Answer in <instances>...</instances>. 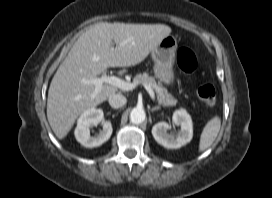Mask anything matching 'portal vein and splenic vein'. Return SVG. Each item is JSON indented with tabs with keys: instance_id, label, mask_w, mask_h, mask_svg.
Segmentation results:
<instances>
[{
	"instance_id": "obj_1",
	"label": "portal vein and splenic vein",
	"mask_w": 272,
	"mask_h": 198,
	"mask_svg": "<svg viewBox=\"0 0 272 198\" xmlns=\"http://www.w3.org/2000/svg\"><path fill=\"white\" fill-rule=\"evenodd\" d=\"M83 84H91L95 86V92H99L101 90V87L103 84H110L117 88H120L124 91H130L136 88V83L134 82H126L116 76H109L106 73H104L101 77H96L93 79H82ZM147 92L149 93L151 99L155 100V93L150 85L143 84Z\"/></svg>"
}]
</instances>
